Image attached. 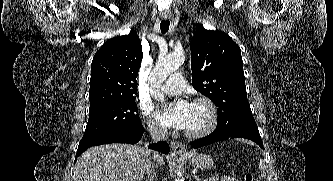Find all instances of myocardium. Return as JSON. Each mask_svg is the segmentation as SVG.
<instances>
[{"label": "myocardium", "mask_w": 333, "mask_h": 181, "mask_svg": "<svg viewBox=\"0 0 333 181\" xmlns=\"http://www.w3.org/2000/svg\"><path fill=\"white\" fill-rule=\"evenodd\" d=\"M192 104L193 105H202L205 107V109L207 111V122L200 129L192 130V131L186 130L185 135L190 138L203 137V136L209 134L210 132H212L217 125V121H218L217 108H216L215 104L213 103V101L207 97H197V98L193 99Z\"/></svg>", "instance_id": "myocardium-1"}]
</instances>
